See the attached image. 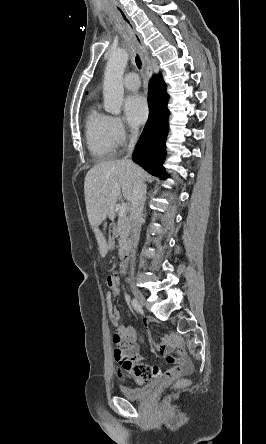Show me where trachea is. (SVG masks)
<instances>
[{"label":"trachea","instance_id":"1","mask_svg":"<svg viewBox=\"0 0 266 444\" xmlns=\"http://www.w3.org/2000/svg\"><path fill=\"white\" fill-rule=\"evenodd\" d=\"M135 63H136V66L138 67V69H141L142 63H141L140 57L138 55L135 58Z\"/></svg>","mask_w":266,"mask_h":444}]
</instances>
